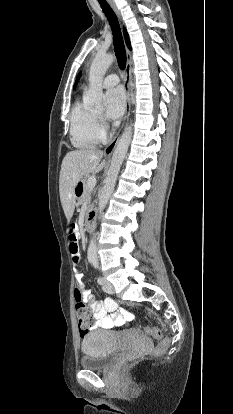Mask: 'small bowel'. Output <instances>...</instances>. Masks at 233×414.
Listing matches in <instances>:
<instances>
[{
    "label": "small bowel",
    "mask_w": 233,
    "mask_h": 414,
    "mask_svg": "<svg viewBox=\"0 0 233 414\" xmlns=\"http://www.w3.org/2000/svg\"><path fill=\"white\" fill-rule=\"evenodd\" d=\"M77 236H82V231L76 232ZM71 262L75 274V287L76 293L82 294L85 297L86 302L92 310L93 316L96 320L95 326L103 328H114L124 325L133 319L131 312L124 308H120L118 303L111 297H106L103 300H96L91 291L83 284V273L80 261V253L74 250L71 253Z\"/></svg>",
    "instance_id": "c3829d8e"
}]
</instances>
